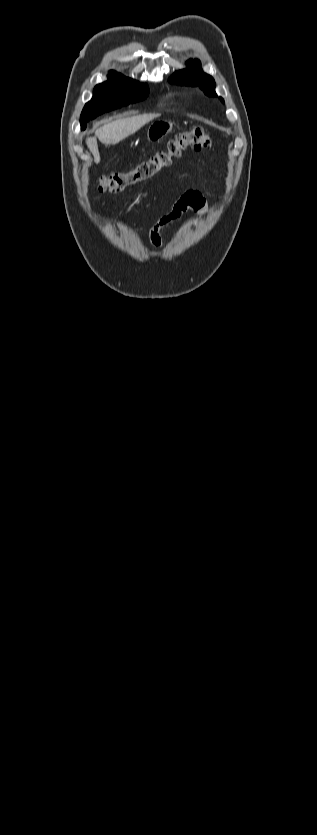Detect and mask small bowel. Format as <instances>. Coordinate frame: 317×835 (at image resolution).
<instances>
[{
	"instance_id": "obj_1",
	"label": "small bowel",
	"mask_w": 317,
	"mask_h": 835,
	"mask_svg": "<svg viewBox=\"0 0 317 835\" xmlns=\"http://www.w3.org/2000/svg\"><path fill=\"white\" fill-rule=\"evenodd\" d=\"M189 210L194 211L201 216H208L213 213L214 208L208 187H204L202 190L191 189L184 192L173 203L169 212L161 216L151 226L148 233L150 245L154 248H161L163 246L161 230L172 222L178 220Z\"/></svg>"
}]
</instances>
